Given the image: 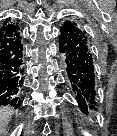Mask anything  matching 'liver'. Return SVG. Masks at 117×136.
<instances>
[{
	"label": "liver",
	"mask_w": 117,
	"mask_h": 136,
	"mask_svg": "<svg viewBox=\"0 0 117 136\" xmlns=\"http://www.w3.org/2000/svg\"><path fill=\"white\" fill-rule=\"evenodd\" d=\"M12 115V110L9 107H0V129H2L8 122Z\"/></svg>",
	"instance_id": "obj_1"
}]
</instances>
